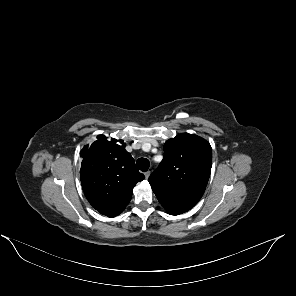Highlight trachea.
Masks as SVG:
<instances>
[{
	"mask_svg": "<svg viewBox=\"0 0 296 296\" xmlns=\"http://www.w3.org/2000/svg\"><path fill=\"white\" fill-rule=\"evenodd\" d=\"M150 163L149 160L146 158H139L137 160V167L143 171L146 172L149 169Z\"/></svg>",
	"mask_w": 296,
	"mask_h": 296,
	"instance_id": "3493384b",
	"label": "trachea"
}]
</instances>
